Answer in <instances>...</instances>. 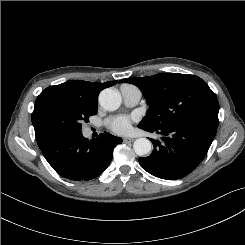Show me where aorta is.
<instances>
[{
  "mask_svg": "<svg viewBox=\"0 0 245 245\" xmlns=\"http://www.w3.org/2000/svg\"><path fill=\"white\" fill-rule=\"evenodd\" d=\"M99 103L108 111L117 110L121 105V95L115 89L106 88L99 95ZM133 149L138 156H144L151 151V142L146 138H138L134 141Z\"/></svg>",
  "mask_w": 245,
  "mask_h": 245,
  "instance_id": "aorta-1",
  "label": "aorta"
}]
</instances>
